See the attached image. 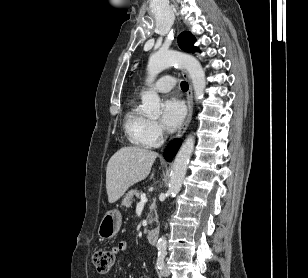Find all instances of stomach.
<instances>
[{
	"instance_id": "0dacf381",
	"label": "stomach",
	"mask_w": 308,
	"mask_h": 278,
	"mask_svg": "<svg viewBox=\"0 0 308 278\" xmlns=\"http://www.w3.org/2000/svg\"><path fill=\"white\" fill-rule=\"evenodd\" d=\"M122 224V216L119 211H108L102 218L99 227L98 235L101 239H110L114 237L120 230Z\"/></svg>"
}]
</instances>
